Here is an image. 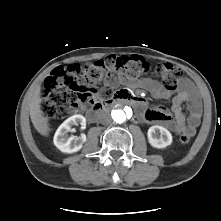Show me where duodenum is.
Masks as SVG:
<instances>
[{
	"label": "duodenum",
	"mask_w": 221,
	"mask_h": 221,
	"mask_svg": "<svg viewBox=\"0 0 221 221\" xmlns=\"http://www.w3.org/2000/svg\"><path fill=\"white\" fill-rule=\"evenodd\" d=\"M118 102H126L131 106L141 109L144 106L142 99L134 97L126 90H120L115 95L104 100H96L93 105L87 109V117L89 120H96L97 116L108 108L114 106Z\"/></svg>",
	"instance_id": "410a0bca"
}]
</instances>
